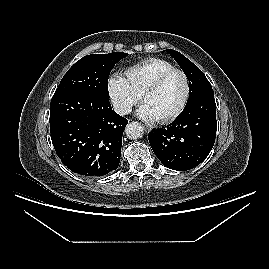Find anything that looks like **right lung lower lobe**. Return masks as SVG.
Listing matches in <instances>:
<instances>
[{"label":"right lung lower lobe","mask_w":269,"mask_h":269,"mask_svg":"<svg viewBox=\"0 0 269 269\" xmlns=\"http://www.w3.org/2000/svg\"><path fill=\"white\" fill-rule=\"evenodd\" d=\"M49 122L56 154L71 171L95 177L118 168L128 121L109 100L80 92L54 95Z\"/></svg>","instance_id":"obj_1"}]
</instances>
